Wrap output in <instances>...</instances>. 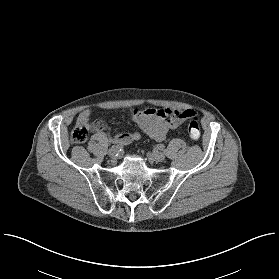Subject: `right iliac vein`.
<instances>
[{
	"label": "right iliac vein",
	"instance_id": "1",
	"mask_svg": "<svg viewBox=\"0 0 279 279\" xmlns=\"http://www.w3.org/2000/svg\"><path fill=\"white\" fill-rule=\"evenodd\" d=\"M116 153H117V149L114 148V147H112V148H110V149L108 150V155H109L110 157H115Z\"/></svg>",
	"mask_w": 279,
	"mask_h": 279
}]
</instances>
